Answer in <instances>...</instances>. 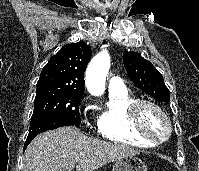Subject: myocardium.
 <instances>
[{
	"mask_svg": "<svg viewBox=\"0 0 199 171\" xmlns=\"http://www.w3.org/2000/svg\"><path fill=\"white\" fill-rule=\"evenodd\" d=\"M148 109H151L155 111L164 121L165 123V132L164 134H156L152 132L144 122L145 114ZM130 117L132 126L134 128V131L146 138L149 139L156 144L163 143L167 141L173 131L172 122L166 111L156 102L148 99H141L137 100L130 109Z\"/></svg>",
	"mask_w": 199,
	"mask_h": 171,
	"instance_id": "1",
	"label": "myocardium"
}]
</instances>
